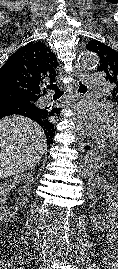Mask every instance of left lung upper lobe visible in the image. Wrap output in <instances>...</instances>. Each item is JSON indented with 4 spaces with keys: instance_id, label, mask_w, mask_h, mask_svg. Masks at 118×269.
Listing matches in <instances>:
<instances>
[{
    "instance_id": "obj_1",
    "label": "left lung upper lobe",
    "mask_w": 118,
    "mask_h": 269,
    "mask_svg": "<svg viewBox=\"0 0 118 269\" xmlns=\"http://www.w3.org/2000/svg\"><path fill=\"white\" fill-rule=\"evenodd\" d=\"M86 48L99 55L100 65L97 71L105 73L106 80L113 84L111 93L118 102V52L97 40L90 41Z\"/></svg>"
}]
</instances>
